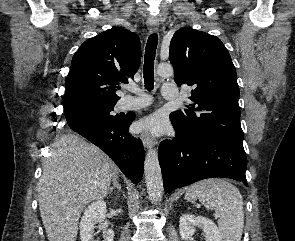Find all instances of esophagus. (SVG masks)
Instances as JSON below:
<instances>
[{
  "label": "esophagus",
  "mask_w": 295,
  "mask_h": 241,
  "mask_svg": "<svg viewBox=\"0 0 295 241\" xmlns=\"http://www.w3.org/2000/svg\"><path fill=\"white\" fill-rule=\"evenodd\" d=\"M147 27L150 33L158 31L159 22L156 19H148ZM142 143L144 147L148 148L156 144L155 140L149 134H142L141 136Z\"/></svg>",
  "instance_id": "1"
}]
</instances>
